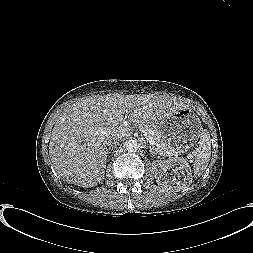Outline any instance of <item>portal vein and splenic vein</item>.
<instances>
[{
  "instance_id": "1",
  "label": "portal vein and splenic vein",
  "mask_w": 253,
  "mask_h": 253,
  "mask_svg": "<svg viewBox=\"0 0 253 253\" xmlns=\"http://www.w3.org/2000/svg\"><path fill=\"white\" fill-rule=\"evenodd\" d=\"M120 120H123V119H120ZM123 123H124L123 125L125 126V131H128L129 130V128H127L129 126L128 122L124 121ZM101 133H104V132L101 131ZM143 133H144L147 141L150 143V145H152V146L156 145L155 141L153 140L152 136L150 135V130L149 129L143 130Z\"/></svg>"
}]
</instances>
